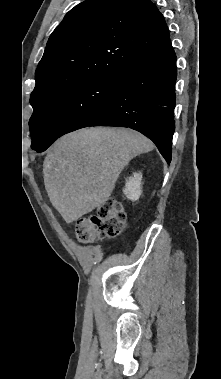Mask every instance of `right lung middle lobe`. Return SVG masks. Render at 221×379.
<instances>
[{
  "mask_svg": "<svg viewBox=\"0 0 221 379\" xmlns=\"http://www.w3.org/2000/svg\"><path fill=\"white\" fill-rule=\"evenodd\" d=\"M119 75L97 74L31 100L32 149L47 148L63 134L94 122L110 104Z\"/></svg>",
  "mask_w": 221,
  "mask_h": 379,
  "instance_id": "obj_1",
  "label": "right lung middle lobe"
}]
</instances>
